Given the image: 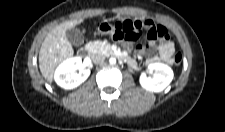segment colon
<instances>
[{
	"label": "colon",
	"instance_id": "colon-1",
	"mask_svg": "<svg viewBox=\"0 0 225 132\" xmlns=\"http://www.w3.org/2000/svg\"><path fill=\"white\" fill-rule=\"evenodd\" d=\"M99 28L102 32L110 35L115 40H127L134 41L139 37L140 31H123L118 25L113 22L102 23L99 25ZM149 40L156 41L157 39H167L168 33L163 27H155L148 30ZM182 56L180 53H177L173 56V63L178 65L180 64Z\"/></svg>",
	"mask_w": 225,
	"mask_h": 132
}]
</instances>
